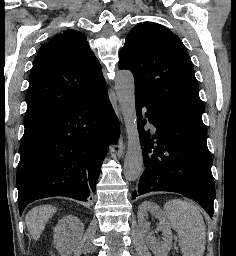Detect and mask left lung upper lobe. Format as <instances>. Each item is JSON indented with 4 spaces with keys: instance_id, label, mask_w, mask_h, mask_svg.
<instances>
[{
    "instance_id": "1",
    "label": "left lung upper lobe",
    "mask_w": 236,
    "mask_h": 256,
    "mask_svg": "<svg viewBox=\"0 0 236 256\" xmlns=\"http://www.w3.org/2000/svg\"><path fill=\"white\" fill-rule=\"evenodd\" d=\"M119 68L133 73L135 95L202 121L192 61L178 36L164 26L136 25L120 52Z\"/></svg>"
}]
</instances>
